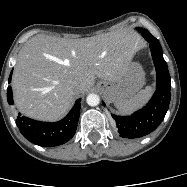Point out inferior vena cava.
<instances>
[{
    "instance_id": "obj_1",
    "label": "inferior vena cava",
    "mask_w": 187,
    "mask_h": 187,
    "mask_svg": "<svg viewBox=\"0 0 187 187\" xmlns=\"http://www.w3.org/2000/svg\"><path fill=\"white\" fill-rule=\"evenodd\" d=\"M69 90L71 91V93L75 94L77 92V85L76 84H72L69 87Z\"/></svg>"
}]
</instances>
